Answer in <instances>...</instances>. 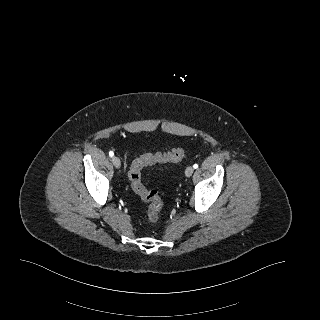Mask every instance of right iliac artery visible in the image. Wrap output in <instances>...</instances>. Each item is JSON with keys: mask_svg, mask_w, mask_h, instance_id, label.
I'll return each instance as SVG.
<instances>
[{"mask_svg": "<svg viewBox=\"0 0 320 320\" xmlns=\"http://www.w3.org/2000/svg\"><path fill=\"white\" fill-rule=\"evenodd\" d=\"M114 153L112 151L109 152V156L112 157Z\"/></svg>", "mask_w": 320, "mask_h": 320, "instance_id": "1", "label": "right iliac artery"}]
</instances>
